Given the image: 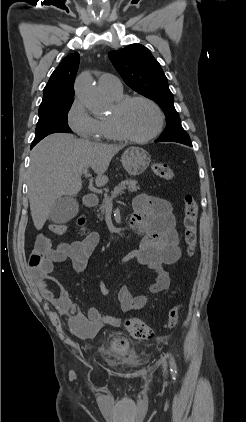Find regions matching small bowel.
<instances>
[{
	"label": "small bowel",
	"mask_w": 246,
	"mask_h": 422,
	"mask_svg": "<svg viewBox=\"0 0 246 422\" xmlns=\"http://www.w3.org/2000/svg\"><path fill=\"white\" fill-rule=\"evenodd\" d=\"M134 216L141 236L139 247L117 263L122 264L134 260L137 264L145 266L156 273L154 280L147 283L151 292H160L170 286L169 273L166 265L176 263L181 257L179 237L176 230V220L171 203L160 197L140 194L134 200ZM99 243V235L90 232L83 240L70 243L61 242L49 253L51 268L42 279H36L35 284L42 297L50 302L61 314L69 315V325L73 333L80 337H93L104 325L118 328L121 318L115 315H106L94 307L83 313L75 304L69 292L60 286L56 295L46 282L51 278L56 263L68 262L75 271H83L88 267L89 259ZM102 295L107 296L108 288L103 278L98 283ZM121 310L124 313L142 309L146 304V297L134 295L127 286H122L117 293Z\"/></svg>",
	"instance_id": "small-bowel-1"
}]
</instances>
